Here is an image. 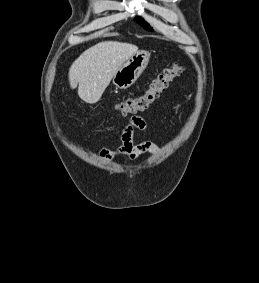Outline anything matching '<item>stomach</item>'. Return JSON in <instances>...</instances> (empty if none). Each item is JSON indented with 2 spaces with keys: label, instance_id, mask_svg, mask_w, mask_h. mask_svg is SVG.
I'll return each instance as SVG.
<instances>
[{
  "label": "stomach",
  "instance_id": "1",
  "mask_svg": "<svg viewBox=\"0 0 259 283\" xmlns=\"http://www.w3.org/2000/svg\"><path fill=\"white\" fill-rule=\"evenodd\" d=\"M150 55L145 51H137L128 58L113 76V84L120 89L130 87L148 65Z\"/></svg>",
  "mask_w": 259,
  "mask_h": 283
}]
</instances>
